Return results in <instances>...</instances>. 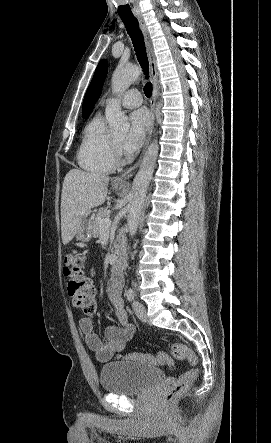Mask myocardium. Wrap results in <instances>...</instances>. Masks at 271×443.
<instances>
[{"label": "myocardium", "instance_id": "1", "mask_svg": "<svg viewBox=\"0 0 271 443\" xmlns=\"http://www.w3.org/2000/svg\"><path fill=\"white\" fill-rule=\"evenodd\" d=\"M113 145H114L115 151H116L118 154H120V146H119V143L116 141L115 138H113Z\"/></svg>", "mask_w": 271, "mask_h": 443}]
</instances>
